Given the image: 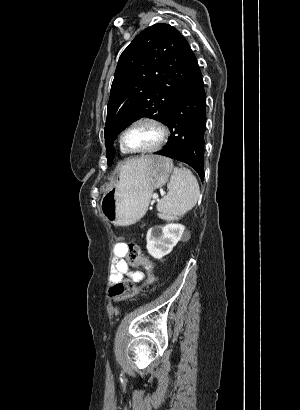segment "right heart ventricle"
<instances>
[{
  "instance_id": "e07e8e85",
  "label": "right heart ventricle",
  "mask_w": 300,
  "mask_h": 410,
  "mask_svg": "<svg viewBox=\"0 0 300 410\" xmlns=\"http://www.w3.org/2000/svg\"><path fill=\"white\" fill-rule=\"evenodd\" d=\"M121 152L123 153V154H128L125 150H123L122 148H121Z\"/></svg>"
}]
</instances>
